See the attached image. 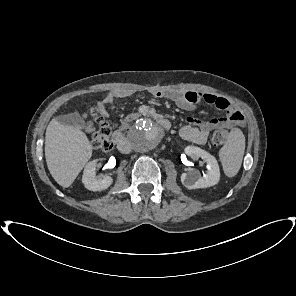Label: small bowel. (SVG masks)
<instances>
[{
  "label": "small bowel",
  "mask_w": 296,
  "mask_h": 296,
  "mask_svg": "<svg viewBox=\"0 0 296 296\" xmlns=\"http://www.w3.org/2000/svg\"><path fill=\"white\" fill-rule=\"evenodd\" d=\"M130 95L131 91L125 89L110 91L103 99L98 101L97 107L99 112L102 115H107V105ZM154 95L159 98L168 99L184 110H194L200 103H206L225 112L223 117L213 118L208 121L197 118L187 119V123L180 129L179 134L183 140L194 144H204L214 129L242 125L245 120L243 114L229 100L223 97L197 91L176 90H158L154 92ZM86 131L90 133L92 127L90 125L87 126Z\"/></svg>",
  "instance_id": "small-bowel-1"
}]
</instances>
